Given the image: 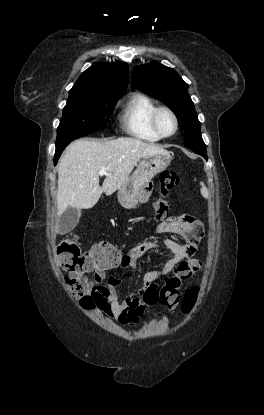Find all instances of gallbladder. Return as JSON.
Instances as JSON below:
<instances>
[{"instance_id": "bac80fb5", "label": "gallbladder", "mask_w": 264, "mask_h": 415, "mask_svg": "<svg viewBox=\"0 0 264 415\" xmlns=\"http://www.w3.org/2000/svg\"><path fill=\"white\" fill-rule=\"evenodd\" d=\"M81 210L77 208H67L61 215L59 221V232L66 234L72 231L79 222Z\"/></svg>"}]
</instances>
